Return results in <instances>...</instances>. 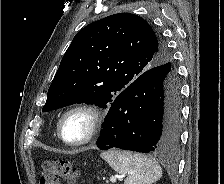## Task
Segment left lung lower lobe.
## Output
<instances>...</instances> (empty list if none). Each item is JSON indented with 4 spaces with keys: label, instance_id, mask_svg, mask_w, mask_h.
Listing matches in <instances>:
<instances>
[{
    "label": "left lung lower lobe",
    "instance_id": "0a47b994",
    "mask_svg": "<svg viewBox=\"0 0 224 184\" xmlns=\"http://www.w3.org/2000/svg\"><path fill=\"white\" fill-rule=\"evenodd\" d=\"M172 65L155 66L137 77L111 103L97 147L168 153L179 142L180 83Z\"/></svg>",
    "mask_w": 224,
    "mask_h": 184
}]
</instances>
